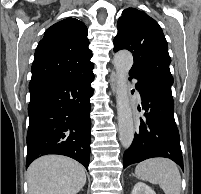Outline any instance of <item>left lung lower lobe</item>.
Masks as SVG:
<instances>
[{
	"mask_svg": "<svg viewBox=\"0 0 201 194\" xmlns=\"http://www.w3.org/2000/svg\"><path fill=\"white\" fill-rule=\"evenodd\" d=\"M143 117L131 146L123 156V167L153 157H166L183 169L179 132L174 119L171 85L160 80L142 79L135 75ZM140 110V107H139Z\"/></svg>",
	"mask_w": 201,
	"mask_h": 194,
	"instance_id": "1",
	"label": "left lung lower lobe"
}]
</instances>
